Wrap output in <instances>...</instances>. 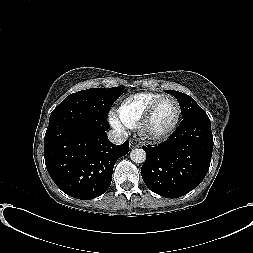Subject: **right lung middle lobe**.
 I'll list each match as a JSON object with an SVG mask.
<instances>
[{
    "label": "right lung middle lobe",
    "instance_id": "right-lung-middle-lobe-1",
    "mask_svg": "<svg viewBox=\"0 0 253 253\" xmlns=\"http://www.w3.org/2000/svg\"><path fill=\"white\" fill-rule=\"evenodd\" d=\"M122 93L123 89L120 87L82 90L69 95L55 109L66 107L85 108L103 118H107L112 104Z\"/></svg>",
    "mask_w": 253,
    "mask_h": 253
}]
</instances>
